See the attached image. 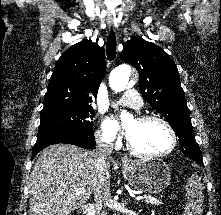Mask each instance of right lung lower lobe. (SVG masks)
I'll list each match as a JSON object with an SVG mask.
<instances>
[{"label": "right lung lower lobe", "instance_id": "obj_1", "mask_svg": "<svg viewBox=\"0 0 221 215\" xmlns=\"http://www.w3.org/2000/svg\"><path fill=\"white\" fill-rule=\"evenodd\" d=\"M56 143H68L85 149L95 146V138L92 130L80 132H62L53 135L40 136L37 138L32 152V159L45 147Z\"/></svg>", "mask_w": 221, "mask_h": 215}]
</instances>
